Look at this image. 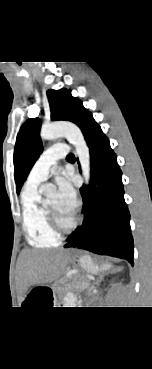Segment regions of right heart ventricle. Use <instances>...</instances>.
<instances>
[{
	"label": "right heart ventricle",
	"mask_w": 152,
	"mask_h": 369,
	"mask_svg": "<svg viewBox=\"0 0 152 369\" xmlns=\"http://www.w3.org/2000/svg\"><path fill=\"white\" fill-rule=\"evenodd\" d=\"M21 204L23 228L29 245L37 248L57 246L60 237L49 225L38 186H25Z\"/></svg>",
	"instance_id": "obj_1"
}]
</instances>
